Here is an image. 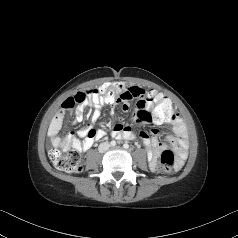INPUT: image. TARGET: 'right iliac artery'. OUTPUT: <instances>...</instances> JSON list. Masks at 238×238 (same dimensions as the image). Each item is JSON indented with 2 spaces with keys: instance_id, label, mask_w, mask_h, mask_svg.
Listing matches in <instances>:
<instances>
[{
  "instance_id": "right-iliac-artery-1",
  "label": "right iliac artery",
  "mask_w": 238,
  "mask_h": 238,
  "mask_svg": "<svg viewBox=\"0 0 238 238\" xmlns=\"http://www.w3.org/2000/svg\"><path fill=\"white\" fill-rule=\"evenodd\" d=\"M110 144H111V146H115V145H116V141L112 140V141L110 142Z\"/></svg>"
}]
</instances>
